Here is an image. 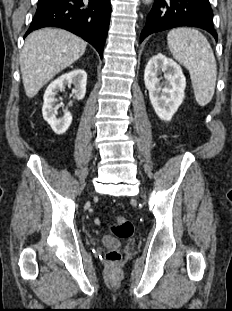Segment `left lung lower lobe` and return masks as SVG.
Returning a JSON list of instances; mask_svg holds the SVG:
<instances>
[{"mask_svg":"<svg viewBox=\"0 0 232 311\" xmlns=\"http://www.w3.org/2000/svg\"><path fill=\"white\" fill-rule=\"evenodd\" d=\"M212 20L209 0H155L140 35V42L152 33L180 26L202 28L217 40Z\"/></svg>","mask_w":232,"mask_h":311,"instance_id":"left-lung-lower-lobe-1","label":"left lung lower lobe"}]
</instances>
